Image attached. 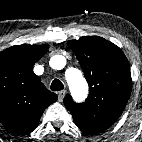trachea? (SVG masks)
Returning <instances> with one entry per match:
<instances>
[{
	"mask_svg": "<svg viewBox=\"0 0 142 142\" xmlns=\"http://www.w3.org/2000/svg\"><path fill=\"white\" fill-rule=\"evenodd\" d=\"M50 88L53 91H60V90H62L64 88V85H63V83L59 79H55L51 83V87Z\"/></svg>",
	"mask_w": 142,
	"mask_h": 142,
	"instance_id": "obj_1",
	"label": "trachea"
}]
</instances>
